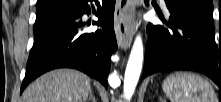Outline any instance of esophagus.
<instances>
[{"label": "esophagus", "instance_id": "esophagus-1", "mask_svg": "<svg viewBox=\"0 0 221 102\" xmlns=\"http://www.w3.org/2000/svg\"><path fill=\"white\" fill-rule=\"evenodd\" d=\"M134 8L135 3L133 0H117L114 27L118 46L122 49L130 47L135 33Z\"/></svg>", "mask_w": 221, "mask_h": 102}]
</instances>
